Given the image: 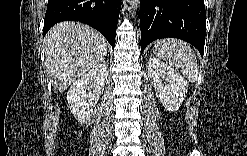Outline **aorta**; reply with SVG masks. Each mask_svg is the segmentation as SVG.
Here are the masks:
<instances>
[{
    "mask_svg": "<svg viewBox=\"0 0 247 156\" xmlns=\"http://www.w3.org/2000/svg\"><path fill=\"white\" fill-rule=\"evenodd\" d=\"M140 1L139 0H131L130 1V6H131V11H134L138 8Z\"/></svg>",
    "mask_w": 247,
    "mask_h": 156,
    "instance_id": "aorta-1",
    "label": "aorta"
}]
</instances>
